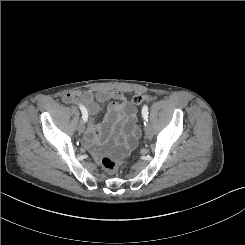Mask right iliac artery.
<instances>
[{
	"label": "right iliac artery",
	"mask_w": 245,
	"mask_h": 245,
	"mask_svg": "<svg viewBox=\"0 0 245 245\" xmlns=\"http://www.w3.org/2000/svg\"><path fill=\"white\" fill-rule=\"evenodd\" d=\"M79 107H80L81 112H82L83 121L86 122L87 119H88V111H87V109L82 104H80Z\"/></svg>",
	"instance_id": "right-iliac-artery-1"
}]
</instances>
